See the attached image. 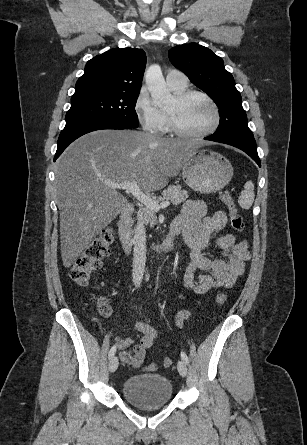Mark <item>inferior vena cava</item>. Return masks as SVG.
<instances>
[{
    "label": "inferior vena cava",
    "instance_id": "602c4592",
    "mask_svg": "<svg viewBox=\"0 0 307 445\" xmlns=\"http://www.w3.org/2000/svg\"><path fill=\"white\" fill-rule=\"evenodd\" d=\"M146 263V235L143 223H137L134 235V255L132 281L135 287H140Z\"/></svg>",
    "mask_w": 307,
    "mask_h": 445
}]
</instances>
